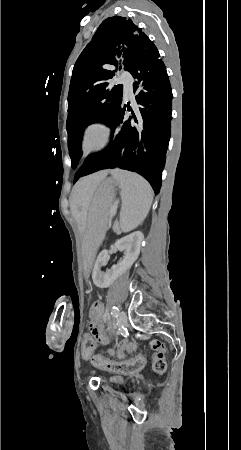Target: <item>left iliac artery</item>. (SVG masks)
I'll list each match as a JSON object with an SVG mask.
<instances>
[{
  "mask_svg": "<svg viewBox=\"0 0 241 450\" xmlns=\"http://www.w3.org/2000/svg\"><path fill=\"white\" fill-rule=\"evenodd\" d=\"M111 314L113 315V317L117 318L118 315H119V309H118V307L113 306V307H112V312H111Z\"/></svg>",
  "mask_w": 241,
  "mask_h": 450,
  "instance_id": "44dca946",
  "label": "left iliac artery"
}]
</instances>
